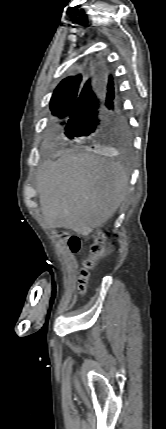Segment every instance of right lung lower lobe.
Instances as JSON below:
<instances>
[{
	"label": "right lung lower lobe",
	"mask_w": 166,
	"mask_h": 429,
	"mask_svg": "<svg viewBox=\"0 0 166 429\" xmlns=\"http://www.w3.org/2000/svg\"><path fill=\"white\" fill-rule=\"evenodd\" d=\"M127 126L112 77L106 78L98 71L85 77L68 114L64 134L70 139L105 142L115 129Z\"/></svg>",
	"instance_id": "obj_1"
}]
</instances>
